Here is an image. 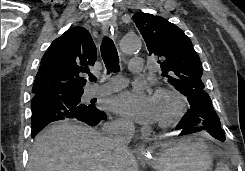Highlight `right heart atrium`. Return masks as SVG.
I'll return each mask as SVG.
<instances>
[{
	"instance_id": "1",
	"label": "right heart atrium",
	"mask_w": 245,
	"mask_h": 171,
	"mask_svg": "<svg viewBox=\"0 0 245 171\" xmlns=\"http://www.w3.org/2000/svg\"><path fill=\"white\" fill-rule=\"evenodd\" d=\"M114 126L119 129H128L130 124L124 119H118L115 121Z\"/></svg>"
}]
</instances>
